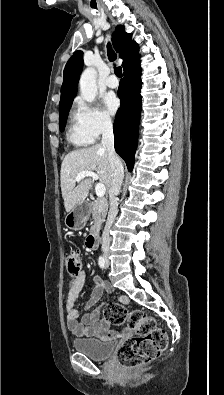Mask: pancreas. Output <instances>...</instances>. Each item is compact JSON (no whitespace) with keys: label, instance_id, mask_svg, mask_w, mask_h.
<instances>
[{"label":"pancreas","instance_id":"cf45deb5","mask_svg":"<svg viewBox=\"0 0 224 395\" xmlns=\"http://www.w3.org/2000/svg\"><path fill=\"white\" fill-rule=\"evenodd\" d=\"M107 210L108 202L106 199H97L90 203V212L94 220V226H92L91 230H95L96 226H101L105 221Z\"/></svg>","mask_w":224,"mask_h":395}]
</instances>
